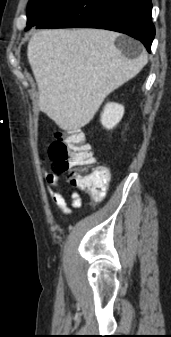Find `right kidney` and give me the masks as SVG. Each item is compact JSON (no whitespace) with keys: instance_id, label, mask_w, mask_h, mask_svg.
Returning a JSON list of instances; mask_svg holds the SVG:
<instances>
[{"instance_id":"ca27d5eb","label":"right kidney","mask_w":171,"mask_h":337,"mask_svg":"<svg viewBox=\"0 0 171 337\" xmlns=\"http://www.w3.org/2000/svg\"><path fill=\"white\" fill-rule=\"evenodd\" d=\"M124 115V106L118 103H108L101 114V123L106 129L114 128Z\"/></svg>"}]
</instances>
